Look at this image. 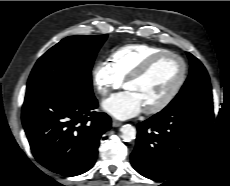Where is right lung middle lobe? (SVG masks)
Returning a JSON list of instances; mask_svg holds the SVG:
<instances>
[{
  "instance_id": "1",
  "label": "right lung middle lobe",
  "mask_w": 230,
  "mask_h": 186,
  "mask_svg": "<svg viewBox=\"0 0 230 186\" xmlns=\"http://www.w3.org/2000/svg\"><path fill=\"white\" fill-rule=\"evenodd\" d=\"M107 35L70 36L49 49L36 62L26 94L45 88L92 93L91 68Z\"/></svg>"
}]
</instances>
